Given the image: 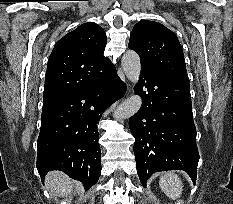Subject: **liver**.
<instances>
[{
	"instance_id": "liver-1",
	"label": "liver",
	"mask_w": 233,
	"mask_h": 204,
	"mask_svg": "<svg viewBox=\"0 0 233 204\" xmlns=\"http://www.w3.org/2000/svg\"><path fill=\"white\" fill-rule=\"evenodd\" d=\"M46 184L57 196H68L73 189H78V183L70 179L65 173L53 171L47 174Z\"/></svg>"
}]
</instances>
